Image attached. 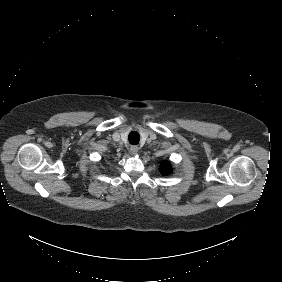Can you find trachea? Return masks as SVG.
Masks as SVG:
<instances>
[{
  "instance_id": "trachea-1",
  "label": "trachea",
  "mask_w": 282,
  "mask_h": 282,
  "mask_svg": "<svg viewBox=\"0 0 282 282\" xmlns=\"http://www.w3.org/2000/svg\"><path fill=\"white\" fill-rule=\"evenodd\" d=\"M128 141L130 144L137 145L140 141V135L136 131H132L128 135Z\"/></svg>"
}]
</instances>
